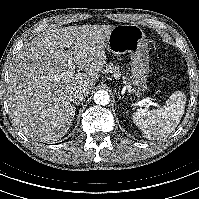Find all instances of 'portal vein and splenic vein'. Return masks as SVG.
Wrapping results in <instances>:
<instances>
[{
    "instance_id": "1",
    "label": "portal vein and splenic vein",
    "mask_w": 199,
    "mask_h": 199,
    "mask_svg": "<svg viewBox=\"0 0 199 199\" xmlns=\"http://www.w3.org/2000/svg\"><path fill=\"white\" fill-rule=\"evenodd\" d=\"M67 67H68V70H67V74L69 76H72L75 72V65L73 64L72 62V58L69 57L68 59V63H67ZM145 103H148L149 105H155L154 102L148 98H144L143 100H141V105H145Z\"/></svg>"
}]
</instances>
